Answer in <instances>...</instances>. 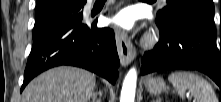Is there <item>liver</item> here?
Masks as SVG:
<instances>
[{
  "mask_svg": "<svg viewBox=\"0 0 221 102\" xmlns=\"http://www.w3.org/2000/svg\"><path fill=\"white\" fill-rule=\"evenodd\" d=\"M94 87L90 72L60 66L33 79L23 91L22 102H90Z\"/></svg>",
  "mask_w": 221,
  "mask_h": 102,
  "instance_id": "6515ba94",
  "label": "liver"
}]
</instances>
